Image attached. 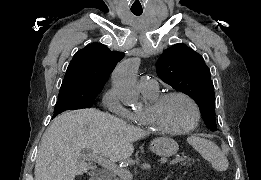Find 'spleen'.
Wrapping results in <instances>:
<instances>
[{"mask_svg": "<svg viewBox=\"0 0 261 180\" xmlns=\"http://www.w3.org/2000/svg\"><path fill=\"white\" fill-rule=\"evenodd\" d=\"M187 142L190 146H193L196 152L201 154L204 160L212 164L214 170H217V172H225L227 170L229 162L216 144H213L210 140H205V138H197V136L187 138Z\"/></svg>", "mask_w": 261, "mask_h": 180, "instance_id": "spleen-1", "label": "spleen"}]
</instances>
